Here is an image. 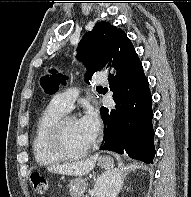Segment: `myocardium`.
<instances>
[{
	"label": "myocardium",
	"instance_id": "1",
	"mask_svg": "<svg viewBox=\"0 0 191 197\" xmlns=\"http://www.w3.org/2000/svg\"><path fill=\"white\" fill-rule=\"evenodd\" d=\"M77 120L74 115H64L52 127L49 135V142L52 150L64 160H78L84 158L94 148V143H91L79 153H71L67 150L64 144V130L69 121Z\"/></svg>",
	"mask_w": 191,
	"mask_h": 197
}]
</instances>
